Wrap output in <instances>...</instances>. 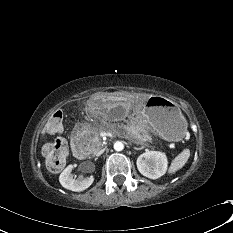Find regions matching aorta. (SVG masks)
I'll use <instances>...</instances> for the list:
<instances>
[{
  "label": "aorta",
  "mask_w": 233,
  "mask_h": 233,
  "mask_svg": "<svg viewBox=\"0 0 233 233\" xmlns=\"http://www.w3.org/2000/svg\"><path fill=\"white\" fill-rule=\"evenodd\" d=\"M124 148V144L121 141H117L114 143V149L116 151H122Z\"/></svg>",
  "instance_id": "obj_1"
}]
</instances>
